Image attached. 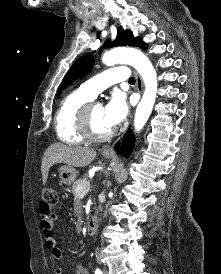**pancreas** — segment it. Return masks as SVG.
<instances>
[{
  "instance_id": "obj_1",
  "label": "pancreas",
  "mask_w": 221,
  "mask_h": 274,
  "mask_svg": "<svg viewBox=\"0 0 221 274\" xmlns=\"http://www.w3.org/2000/svg\"><path fill=\"white\" fill-rule=\"evenodd\" d=\"M89 184V181L84 178V179H78L77 181H75L72 185V191H73V194H74V198L76 200H79L80 199V192L78 191V189H80L81 187H84L86 185Z\"/></svg>"
}]
</instances>
